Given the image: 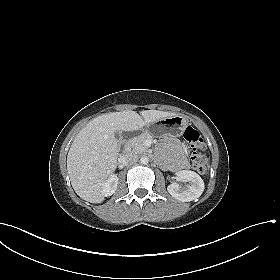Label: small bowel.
<instances>
[{
  "label": "small bowel",
  "mask_w": 280,
  "mask_h": 280,
  "mask_svg": "<svg viewBox=\"0 0 280 280\" xmlns=\"http://www.w3.org/2000/svg\"><path fill=\"white\" fill-rule=\"evenodd\" d=\"M173 159L166 161L164 166L168 169L181 171L187 169V161L184 158L185 147L181 144L172 145Z\"/></svg>",
  "instance_id": "obj_1"
}]
</instances>
